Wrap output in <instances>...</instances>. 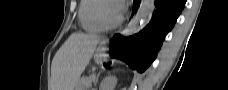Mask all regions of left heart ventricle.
Here are the masks:
<instances>
[{"instance_id": "obj_1", "label": "left heart ventricle", "mask_w": 228, "mask_h": 90, "mask_svg": "<svg viewBox=\"0 0 228 90\" xmlns=\"http://www.w3.org/2000/svg\"><path fill=\"white\" fill-rule=\"evenodd\" d=\"M103 17L106 21L112 22L120 15L115 4H106L102 10Z\"/></svg>"}]
</instances>
